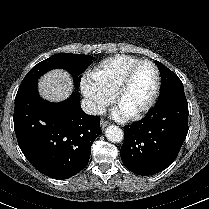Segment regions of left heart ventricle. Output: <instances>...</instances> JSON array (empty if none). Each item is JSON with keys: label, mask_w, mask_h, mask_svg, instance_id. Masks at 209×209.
Returning <instances> with one entry per match:
<instances>
[{"label": "left heart ventricle", "mask_w": 209, "mask_h": 209, "mask_svg": "<svg viewBox=\"0 0 209 209\" xmlns=\"http://www.w3.org/2000/svg\"><path fill=\"white\" fill-rule=\"evenodd\" d=\"M155 85V73L150 64L144 63L135 70L131 83L121 97L119 107L133 113L149 100Z\"/></svg>", "instance_id": "left-heart-ventricle-1"}]
</instances>
